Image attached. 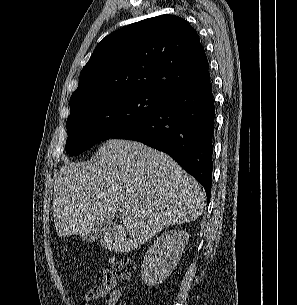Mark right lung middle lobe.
Wrapping results in <instances>:
<instances>
[{"label": "right lung middle lobe", "mask_w": 297, "mask_h": 305, "mask_svg": "<svg viewBox=\"0 0 297 305\" xmlns=\"http://www.w3.org/2000/svg\"><path fill=\"white\" fill-rule=\"evenodd\" d=\"M165 99L149 92L121 93L71 111L66 124L67 153L76 156L94 144L112 138L149 116Z\"/></svg>", "instance_id": "1"}]
</instances>
